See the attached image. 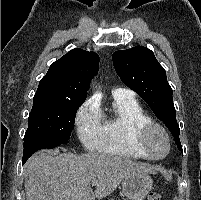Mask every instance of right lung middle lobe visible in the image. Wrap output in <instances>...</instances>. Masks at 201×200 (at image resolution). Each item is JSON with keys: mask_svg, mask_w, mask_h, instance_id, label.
Returning <instances> with one entry per match:
<instances>
[{"mask_svg": "<svg viewBox=\"0 0 201 200\" xmlns=\"http://www.w3.org/2000/svg\"><path fill=\"white\" fill-rule=\"evenodd\" d=\"M84 101L35 95L24 139L68 140L74 128L76 112Z\"/></svg>", "mask_w": 201, "mask_h": 200, "instance_id": "dd1d6c3e", "label": "right lung middle lobe"}]
</instances>
